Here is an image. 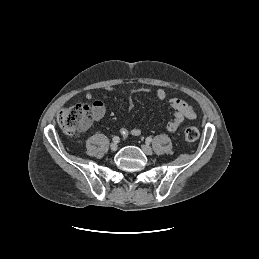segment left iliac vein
Listing matches in <instances>:
<instances>
[{
    "label": "left iliac vein",
    "mask_w": 259,
    "mask_h": 259,
    "mask_svg": "<svg viewBox=\"0 0 259 259\" xmlns=\"http://www.w3.org/2000/svg\"><path fill=\"white\" fill-rule=\"evenodd\" d=\"M141 149L146 155H151L153 153L152 148L147 144L141 145Z\"/></svg>",
    "instance_id": "left-iliac-vein-1"
}]
</instances>
